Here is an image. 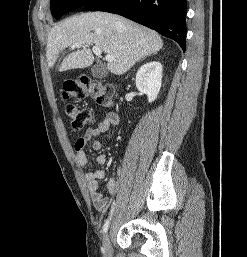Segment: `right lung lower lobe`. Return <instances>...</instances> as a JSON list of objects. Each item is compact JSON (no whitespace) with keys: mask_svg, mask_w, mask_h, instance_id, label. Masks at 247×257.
Here are the masks:
<instances>
[{"mask_svg":"<svg viewBox=\"0 0 247 257\" xmlns=\"http://www.w3.org/2000/svg\"><path fill=\"white\" fill-rule=\"evenodd\" d=\"M122 15L175 40L185 51L186 0H93L84 11Z\"/></svg>","mask_w":247,"mask_h":257,"instance_id":"obj_1","label":"right lung lower lobe"}]
</instances>
